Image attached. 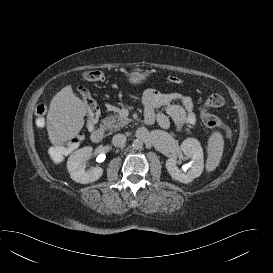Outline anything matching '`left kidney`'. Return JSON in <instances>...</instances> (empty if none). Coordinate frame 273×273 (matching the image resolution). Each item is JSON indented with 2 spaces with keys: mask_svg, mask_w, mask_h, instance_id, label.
I'll return each instance as SVG.
<instances>
[{
  "mask_svg": "<svg viewBox=\"0 0 273 273\" xmlns=\"http://www.w3.org/2000/svg\"><path fill=\"white\" fill-rule=\"evenodd\" d=\"M180 150L187 158L191 159L188 171L177 167V158L175 156L170 157L165 166L172 179L187 184L199 177L203 172V149L197 139L187 138L182 142Z\"/></svg>",
  "mask_w": 273,
  "mask_h": 273,
  "instance_id": "left-kidney-1",
  "label": "left kidney"
}]
</instances>
